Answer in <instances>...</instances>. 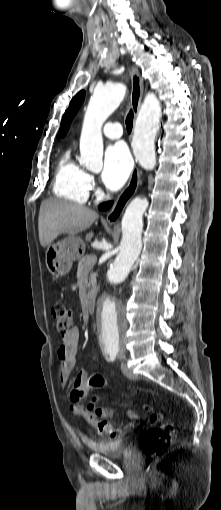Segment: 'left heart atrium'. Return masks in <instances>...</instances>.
I'll return each instance as SVG.
<instances>
[{"mask_svg": "<svg viewBox=\"0 0 221 510\" xmlns=\"http://www.w3.org/2000/svg\"><path fill=\"white\" fill-rule=\"evenodd\" d=\"M132 169V158L127 147L122 143L109 146L104 155L102 181L112 190L121 188L128 179Z\"/></svg>", "mask_w": 221, "mask_h": 510, "instance_id": "39dd6f15", "label": "left heart atrium"}]
</instances>
